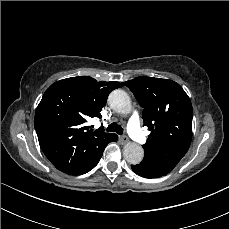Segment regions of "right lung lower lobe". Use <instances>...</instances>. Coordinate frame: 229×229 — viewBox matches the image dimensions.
Instances as JSON below:
<instances>
[{
  "instance_id": "right-lung-lower-lobe-1",
  "label": "right lung lower lobe",
  "mask_w": 229,
  "mask_h": 229,
  "mask_svg": "<svg viewBox=\"0 0 229 229\" xmlns=\"http://www.w3.org/2000/svg\"><path fill=\"white\" fill-rule=\"evenodd\" d=\"M117 139H118V136L116 134L109 136L105 140V142L98 148V150L95 152V154L92 156V158L86 164H84L81 168H79L77 171L71 173L70 175H82L84 173H87L91 169H93L98 164L106 145L110 142L117 141Z\"/></svg>"
}]
</instances>
